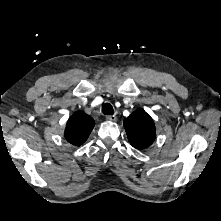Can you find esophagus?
I'll list each match as a JSON object with an SVG mask.
<instances>
[{
    "label": "esophagus",
    "mask_w": 221,
    "mask_h": 221,
    "mask_svg": "<svg viewBox=\"0 0 221 221\" xmlns=\"http://www.w3.org/2000/svg\"><path fill=\"white\" fill-rule=\"evenodd\" d=\"M106 119H107L108 121L114 122V121L117 120V117H116L115 115H108V116H106Z\"/></svg>",
    "instance_id": "1"
}]
</instances>
